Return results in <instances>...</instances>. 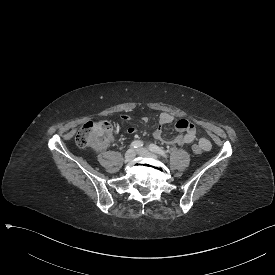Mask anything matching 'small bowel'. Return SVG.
<instances>
[{
	"mask_svg": "<svg viewBox=\"0 0 275 275\" xmlns=\"http://www.w3.org/2000/svg\"><path fill=\"white\" fill-rule=\"evenodd\" d=\"M130 118L129 116L125 115L123 117L124 121H128ZM174 120V117L169 113H162L158 120V126L153 132V137L157 140L163 141V131L162 127L172 123ZM176 130L180 133L178 136H176L174 139L170 140L168 143L172 145H190L194 142H200L204 143L206 145L205 150H209L211 148V143L209 140L205 138H199L197 135V129L194 123L187 119H180L175 123ZM137 132L136 127H130L127 130V133L129 135H135Z\"/></svg>",
	"mask_w": 275,
	"mask_h": 275,
	"instance_id": "obj_1",
	"label": "small bowel"
}]
</instances>
